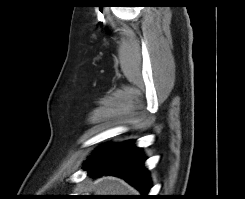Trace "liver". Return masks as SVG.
I'll list each match as a JSON object with an SVG mask.
<instances>
[{
	"label": "liver",
	"instance_id": "obj_1",
	"mask_svg": "<svg viewBox=\"0 0 245 199\" xmlns=\"http://www.w3.org/2000/svg\"><path fill=\"white\" fill-rule=\"evenodd\" d=\"M95 195H135L136 191L124 180L103 176L91 182Z\"/></svg>",
	"mask_w": 245,
	"mask_h": 199
}]
</instances>
